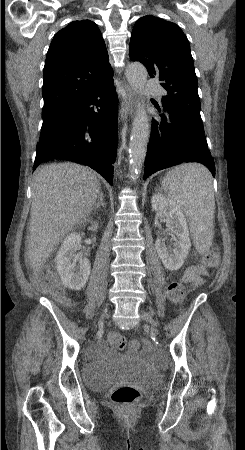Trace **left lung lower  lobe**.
<instances>
[{
    "label": "left lung lower lobe",
    "instance_id": "obj_1",
    "mask_svg": "<svg viewBox=\"0 0 245 450\" xmlns=\"http://www.w3.org/2000/svg\"><path fill=\"white\" fill-rule=\"evenodd\" d=\"M192 161L203 163L215 176L204 131L185 113L164 110L152 120L144 180L161 169Z\"/></svg>",
    "mask_w": 245,
    "mask_h": 450
}]
</instances>
